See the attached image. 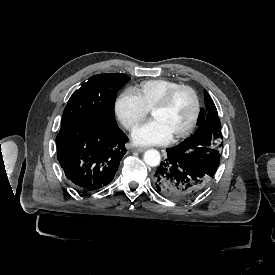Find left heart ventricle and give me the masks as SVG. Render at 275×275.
I'll return each instance as SVG.
<instances>
[{
    "instance_id": "left-heart-ventricle-1",
    "label": "left heart ventricle",
    "mask_w": 275,
    "mask_h": 275,
    "mask_svg": "<svg viewBox=\"0 0 275 275\" xmlns=\"http://www.w3.org/2000/svg\"><path fill=\"white\" fill-rule=\"evenodd\" d=\"M193 112L192 95L189 91L181 89L175 93L166 108L153 113L152 119L158 121L172 137L189 123Z\"/></svg>"
}]
</instances>
